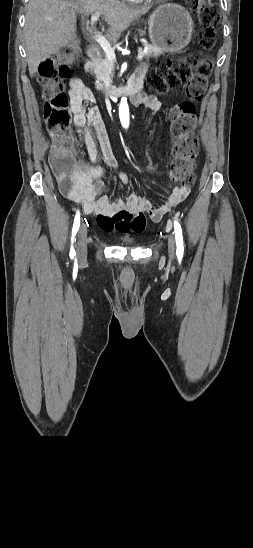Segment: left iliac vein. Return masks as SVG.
<instances>
[{"label": "left iliac vein", "instance_id": "obj_1", "mask_svg": "<svg viewBox=\"0 0 253 548\" xmlns=\"http://www.w3.org/2000/svg\"><path fill=\"white\" fill-rule=\"evenodd\" d=\"M168 252L170 257H174L175 253V237L173 234H170L168 237Z\"/></svg>", "mask_w": 253, "mask_h": 548}]
</instances>
